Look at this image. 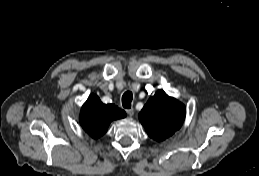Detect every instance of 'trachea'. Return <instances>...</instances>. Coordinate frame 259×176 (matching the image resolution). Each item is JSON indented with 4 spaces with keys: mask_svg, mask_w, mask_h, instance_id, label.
I'll use <instances>...</instances> for the list:
<instances>
[{
    "mask_svg": "<svg viewBox=\"0 0 259 176\" xmlns=\"http://www.w3.org/2000/svg\"><path fill=\"white\" fill-rule=\"evenodd\" d=\"M133 94L131 91H126L122 96V105L124 108H131V102H132Z\"/></svg>",
    "mask_w": 259,
    "mask_h": 176,
    "instance_id": "3493384b",
    "label": "trachea"
}]
</instances>
